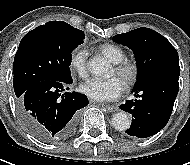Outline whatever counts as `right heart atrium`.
Masks as SVG:
<instances>
[{
	"label": "right heart atrium",
	"mask_w": 190,
	"mask_h": 165,
	"mask_svg": "<svg viewBox=\"0 0 190 165\" xmlns=\"http://www.w3.org/2000/svg\"><path fill=\"white\" fill-rule=\"evenodd\" d=\"M69 68L80 78L88 76V51L86 49H76L70 54Z\"/></svg>",
	"instance_id": "obj_1"
}]
</instances>
